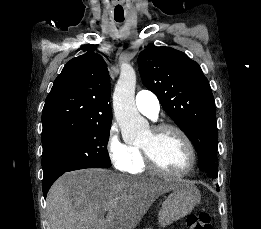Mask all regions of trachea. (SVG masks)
Wrapping results in <instances>:
<instances>
[{"mask_svg": "<svg viewBox=\"0 0 261 229\" xmlns=\"http://www.w3.org/2000/svg\"><path fill=\"white\" fill-rule=\"evenodd\" d=\"M116 22H123L124 17H115Z\"/></svg>", "mask_w": 261, "mask_h": 229, "instance_id": "3493384b", "label": "trachea"}]
</instances>
